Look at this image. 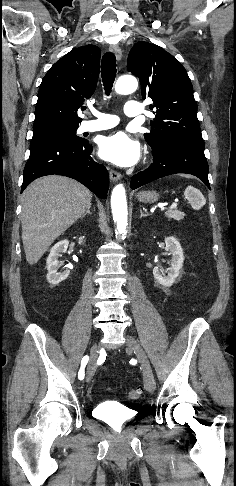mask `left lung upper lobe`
<instances>
[{"mask_svg": "<svg viewBox=\"0 0 236 486\" xmlns=\"http://www.w3.org/2000/svg\"><path fill=\"white\" fill-rule=\"evenodd\" d=\"M127 69L141 83L143 99L153 100L154 121L144 137L152 149L173 140L204 145L193 87L185 68L163 48L140 41L131 49Z\"/></svg>", "mask_w": 236, "mask_h": 486, "instance_id": "1", "label": "left lung upper lobe"}]
</instances>
